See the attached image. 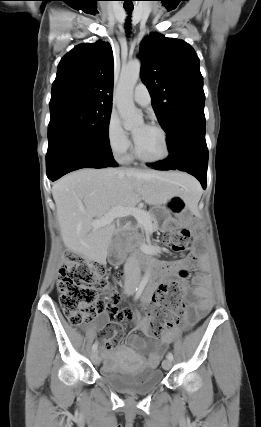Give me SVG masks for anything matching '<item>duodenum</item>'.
<instances>
[{
    "label": "duodenum",
    "instance_id": "410a0bca",
    "mask_svg": "<svg viewBox=\"0 0 261 427\" xmlns=\"http://www.w3.org/2000/svg\"><path fill=\"white\" fill-rule=\"evenodd\" d=\"M151 251L147 252L146 254L143 253H135L134 254V262L144 268H155L156 270H158V262L152 258L151 255ZM119 263V261L117 259L113 260V264L117 265Z\"/></svg>",
    "mask_w": 261,
    "mask_h": 427
}]
</instances>
